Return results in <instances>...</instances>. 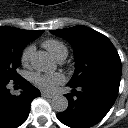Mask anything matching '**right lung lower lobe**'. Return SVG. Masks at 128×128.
Masks as SVG:
<instances>
[{"label":"right lung lower lobe","instance_id":"1","mask_svg":"<svg viewBox=\"0 0 128 128\" xmlns=\"http://www.w3.org/2000/svg\"><path fill=\"white\" fill-rule=\"evenodd\" d=\"M8 83L0 81V128H17L27 119L30 103L40 96V91L21 77L14 84H18L22 92L19 96H13Z\"/></svg>","mask_w":128,"mask_h":128}]
</instances>
